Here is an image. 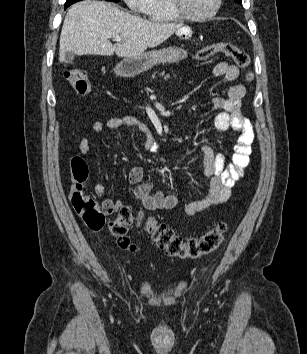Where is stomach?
Returning <instances> with one entry per match:
<instances>
[{
    "instance_id": "1",
    "label": "stomach",
    "mask_w": 307,
    "mask_h": 354,
    "mask_svg": "<svg viewBox=\"0 0 307 354\" xmlns=\"http://www.w3.org/2000/svg\"><path fill=\"white\" fill-rule=\"evenodd\" d=\"M185 57L187 52L178 47L150 51L136 57L124 58L116 65L115 72L122 77H134L157 64L176 63Z\"/></svg>"
}]
</instances>
